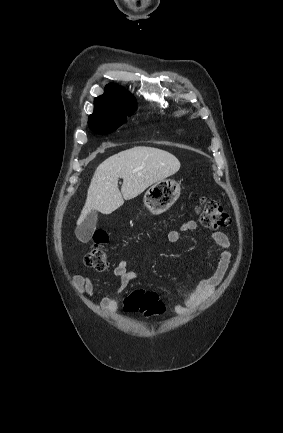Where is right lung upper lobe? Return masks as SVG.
<instances>
[{
  "mask_svg": "<svg viewBox=\"0 0 283 433\" xmlns=\"http://www.w3.org/2000/svg\"><path fill=\"white\" fill-rule=\"evenodd\" d=\"M135 108V99L129 92L116 84H109L106 86L104 94L95 98L93 114L135 110Z\"/></svg>",
  "mask_w": 283,
  "mask_h": 433,
  "instance_id": "obj_1",
  "label": "right lung upper lobe"
}]
</instances>
